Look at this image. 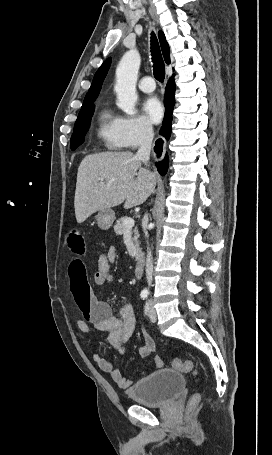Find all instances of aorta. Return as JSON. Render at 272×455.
I'll return each mask as SVG.
<instances>
[{
  "mask_svg": "<svg viewBox=\"0 0 272 455\" xmlns=\"http://www.w3.org/2000/svg\"><path fill=\"white\" fill-rule=\"evenodd\" d=\"M141 58L137 50L127 51L116 69V84L114 90L117 94V106L127 115L136 114L137 101L136 82Z\"/></svg>",
  "mask_w": 272,
  "mask_h": 455,
  "instance_id": "1",
  "label": "aorta"
}]
</instances>
